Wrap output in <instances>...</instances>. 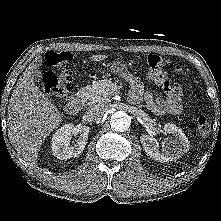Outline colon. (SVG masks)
<instances>
[{
  "mask_svg": "<svg viewBox=\"0 0 221 221\" xmlns=\"http://www.w3.org/2000/svg\"><path fill=\"white\" fill-rule=\"evenodd\" d=\"M72 54L67 51H50L45 55L44 65L48 70L43 75V88L48 97L53 100H60L68 95L72 88ZM169 63V60L157 54H150L147 64L151 77L161 86L168 84V76L162 70ZM51 69H57L56 74ZM197 128L201 135H207L211 131V123L205 116H200L197 120Z\"/></svg>",
  "mask_w": 221,
  "mask_h": 221,
  "instance_id": "5ec220e1",
  "label": "colon"
}]
</instances>
